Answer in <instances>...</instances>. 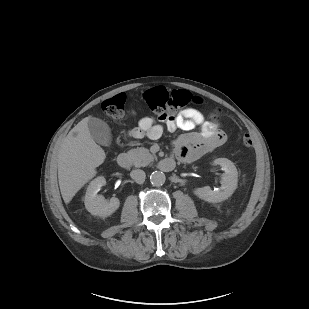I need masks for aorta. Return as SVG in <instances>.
<instances>
[{
	"mask_svg": "<svg viewBox=\"0 0 309 309\" xmlns=\"http://www.w3.org/2000/svg\"><path fill=\"white\" fill-rule=\"evenodd\" d=\"M166 176L162 171H154L150 175V182L154 186H161L165 183Z\"/></svg>",
	"mask_w": 309,
	"mask_h": 309,
	"instance_id": "obj_1",
	"label": "aorta"
}]
</instances>
